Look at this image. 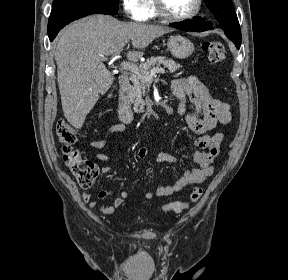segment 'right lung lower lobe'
I'll list each match as a JSON object with an SVG mask.
<instances>
[{
	"label": "right lung lower lobe",
	"mask_w": 288,
	"mask_h": 280,
	"mask_svg": "<svg viewBox=\"0 0 288 280\" xmlns=\"http://www.w3.org/2000/svg\"><path fill=\"white\" fill-rule=\"evenodd\" d=\"M117 14L114 11L100 4L91 2L75 3L64 6L51 12L48 22V36L51 41L54 40L57 33L66 24L90 14Z\"/></svg>",
	"instance_id": "1"
}]
</instances>
